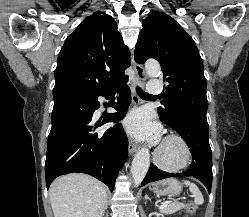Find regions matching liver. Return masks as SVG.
<instances>
[{"label": "liver", "instance_id": "6515ba94", "mask_svg": "<svg viewBox=\"0 0 249 217\" xmlns=\"http://www.w3.org/2000/svg\"><path fill=\"white\" fill-rule=\"evenodd\" d=\"M49 198L54 217H102L107 194L100 181L72 173L51 184Z\"/></svg>", "mask_w": 249, "mask_h": 217}]
</instances>
